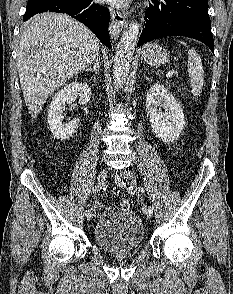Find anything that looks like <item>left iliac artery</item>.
<instances>
[{
    "mask_svg": "<svg viewBox=\"0 0 233 294\" xmlns=\"http://www.w3.org/2000/svg\"><path fill=\"white\" fill-rule=\"evenodd\" d=\"M139 191H140V192H144V191H145L144 187L139 188ZM153 210H154V207H153V206H149V207H148V211H149L150 213H153Z\"/></svg>",
    "mask_w": 233,
    "mask_h": 294,
    "instance_id": "left-iliac-artery-1",
    "label": "left iliac artery"
}]
</instances>
